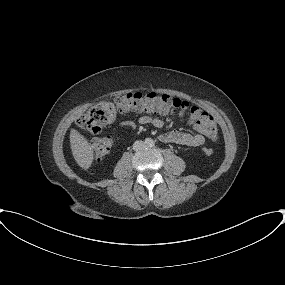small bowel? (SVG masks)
Returning a JSON list of instances; mask_svg holds the SVG:
<instances>
[{
    "mask_svg": "<svg viewBox=\"0 0 285 285\" xmlns=\"http://www.w3.org/2000/svg\"><path fill=\"white\" fill-rule=\"evenodd\" d=\"M172 119V116H166L165 118H161L151 115H142L138 118L137 123L141 125H152L154 127L160 128L166 122L171 121ZM120 126L126 129H133L135 128L136 123L133 121L124 120L120 122ZM206 137L208 136L202 132L186 133L174 130L162 134L159 139L160 141L165 143H174L189 147H199L205 143Z\"/></svg>",
    "mask_w": 285,
    "mask_h": 285,
    "instance_id": "1",
    "label": "small bowel"
}]
</instances>
